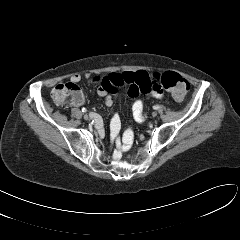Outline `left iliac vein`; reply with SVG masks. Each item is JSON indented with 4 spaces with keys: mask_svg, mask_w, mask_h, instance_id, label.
<instances>
[{
    "mask_svg": "<svg viewBox=\"0 0 240 240\" xmlns=\"http://www.w3.org/2000/svg\"><path fill=\"white\" fill-rule=\"evenodd\" d=\"M152 116H153V117L157 116V112L154 111V112L152 113Z\"/></svg>",
    "mask_w": 240,
    "mask_h": 240,
    "instance_id": "obj_1",
    "label": "left iliac vein"
}]
</instances>
